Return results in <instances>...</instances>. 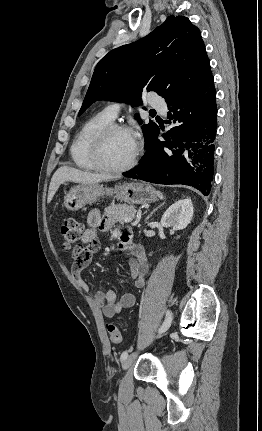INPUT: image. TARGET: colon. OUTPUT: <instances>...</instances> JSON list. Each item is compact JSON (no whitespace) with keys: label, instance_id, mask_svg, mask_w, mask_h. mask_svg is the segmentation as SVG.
<instances>
[{"label":"colon","instance_id":"5ec220e1","mask_svg":"<svg viewBox=\"0 0 262 431\" xmlns=\"http://www.w3.org/2000/svg\"><path fill=\"white\" fill-rule=\"evenodd\" d=\"M63 246L67 249L73 248L76 254H81L88 248V244L82 242L85 233V225L82 221L68 219L61 228ZM108 338L113 343L121 341L119 329L114 324L107 326Z\"/></svg>","mask_w":262,"mask_h":431}]
</instances>
